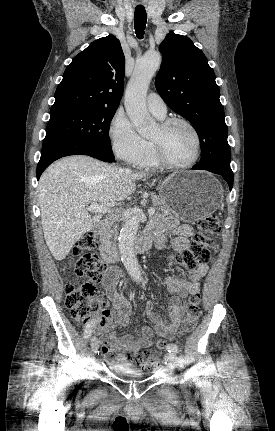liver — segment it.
<instances>
[{"label": "liver", "mask_w": 275, "mask_h": 431, "mask_svg": "<svg viewBox=\"0 0 275 431\" xmlns=\"http://www.w3.org/2000/svg\"><path fill=\"white\" fill-rule=\"evenodd\" d=\"M146 176L84 155L65 157L49 166L39 180L38 202L44 238L53 257L63 260L100 221L101 213L91 217L88 205L114 206Z\"/></svg>", "instance_id": "obj_1"}]
</instances>
